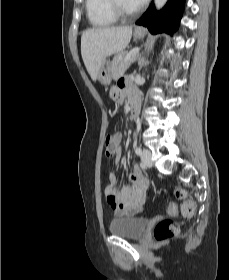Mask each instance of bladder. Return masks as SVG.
Returning a JSON list of instances; mask_svg holds the SVG:
<instances>
[{"mask_svg":"<svg viewBox=\"0 0 229 280\" xmlns=\"http://www.w3.org/2000/svg\"><path fill=\"white\" fill-rule=\"evenodd\" d=\"M109 230L115 236L140 239L146 233L147 220L135 216L113 219L109 225Z\"/></svg>","mask_w":229,"mask_h":280,"instance_id":"31cf9c89","label":"bladder"}]
</instances>
